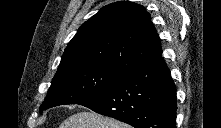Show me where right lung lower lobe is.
<instances>
[{
    "label": "right lung lower lobe",
    "mask_w": 221,
    "mask_h": 128,
    "mask_svg": "<svg viewBox=\"0 0 221 128\" xmlns=\"http://www.w3.org/2000/svg\"><path fill=\"white\" fill-rule=\"evenodd\" d=\"M77 104L135 128H176V86L161 55Z\"/></svg>",
    "instance_id": "1"
}]
</instances>
